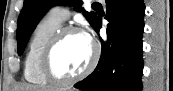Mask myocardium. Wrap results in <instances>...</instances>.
Segmentation results:
<instances>
[{
    "instance_id": "obj_1",
    "label": "myocardium",
    "mask_w": 173,
    "mask_h": 91,
    "mask_svg": "<svg viewBox=\"0 0 173 91\" xmlns=\"http://www.w3.org/2000/svg\"><path fill=\"white\" fill-rule=\"evenodd\" d=\"M73 33L86 36L80 28L74 26H64L60 27L45 44L39 60V70L48 83L56 86L69 85L88 76L96 67L100 56V50L98 45L89 39L92 55L88 65L80 73L69 77H60L52 71L51 60L56 47L66 36Z\"/></svg>"
}]
</instances>
